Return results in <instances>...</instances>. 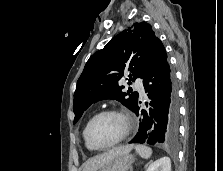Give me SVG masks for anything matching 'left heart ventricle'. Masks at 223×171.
Here are the masks:
<instances>
[{"mask_svg":"<svg viewBox=\"0 0 223 171\" xmlns=\"http://www.w3.org/2000/svg\"><path fill=\"white\" fill-rule=\"evenodd\" d=\"M124 132V122L116 115L99 117L91 126L90 138L98 146L115 142Z\"/></svg>","mask_w":223,"mask_h":171,"instance_id":"1","label":"left heart ventricle"}]
</instances>
